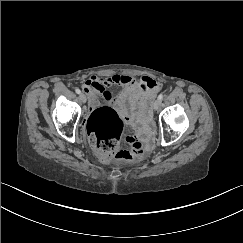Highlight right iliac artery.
<instances>
[{
    "instance_id": "obj_1",
    "label": "right iliac artery",
    "mask_w": 243,
    "mask_h": 243,
    "mask_svg": "<svg viewBox=\"0 0 243 243\" xmlns=\"http://www.w3.org/2000/svg\"><path fill=\"white\" fill-rule=\"evenodd\" d=\"M75 92H76L77 94H80V93H81V90H80L79 88H76V89H75Z\"/></svg>"
}]
</instances>
